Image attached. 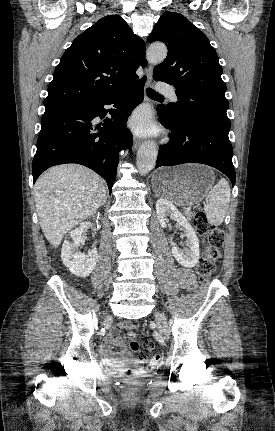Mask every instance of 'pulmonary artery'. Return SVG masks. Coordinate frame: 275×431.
Listing matches in <instances>:
<instances>
[{"mask_svg":"<svg viewBox=\"0 0 275 431\" xmlns=\"http://www.w3.org/2000/svg\"><path fill=\"white\" fill-rule=\"evenodd\" d=\"M157 89L159 92L169 95L172 98V100L174 101L177 100L176 94L171 86L165 83H159L157 86Z\"/></svg>","mask_w":275,"mask_h":431,"instance_id":"obj_1","label":"pulmonary artery"}]
</instances>
